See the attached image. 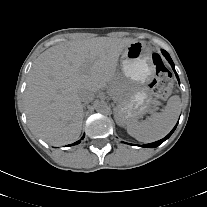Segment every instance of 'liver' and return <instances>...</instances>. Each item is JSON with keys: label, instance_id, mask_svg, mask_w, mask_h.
<instances>
[{"label": "liver", "instance_id": "liver-1", "mask_svg": "<svg viewBox=\"0 0 207 207\" xmlns=\"http://www.w3.org/2000/svg\"><path fill=\"white\" fill-rule=\"evenodd\" d=\"M134 41L96 37L63 42L35 61L24 101L30 129L51 145L76 141L82 129L83 90L94 94L115 78L122 51Z\"/></svg>", "mask_w": 207, "mask_h": 207}]
</instances>
